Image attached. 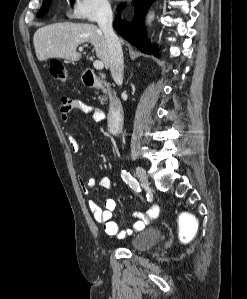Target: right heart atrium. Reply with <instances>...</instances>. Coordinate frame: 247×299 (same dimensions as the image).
Here are the masks:
<instances>
[{"label":"right heart atrium","instance_id":"1","mask_svg":"<svg viewBox=\"0 0 247 299\" xmlns=\"http://www.w3.org/2000/svg\"><path fill=\"white\" fill-rule=\"evenodd\" d=\"M109 0H72L69 15L73 19L97 21L110 16Z\"/></svg>","mask_w":247,"mask_h":299}]
</instances>
